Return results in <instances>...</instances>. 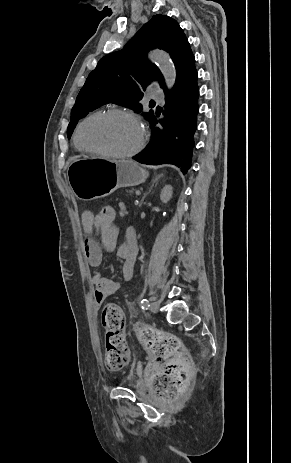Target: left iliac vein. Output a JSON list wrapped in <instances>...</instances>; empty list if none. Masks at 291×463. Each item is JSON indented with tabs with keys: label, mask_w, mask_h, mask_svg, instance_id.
I'll return each instance as SVG.
<instances>
[{
	"label": "left iliac vein",
	"mask_w": 291,
	"mask_h": 463,
	"mask_svg": "<svg viewBox=\"0 0 291 463\" xmlns=\"http://www.w3.org/2000/svg\"><path fill=\"white\" fill-rule=\"evenodd\" d=\"M159 307H160V304L156 301L152 302L151 305H150V310L153 312V313H157L158 310H159Z\"/></svg>",
	"instance_id": "left-iliac-vein-1"
}]
</instances>
